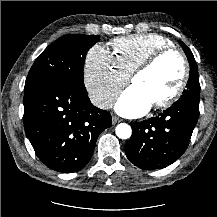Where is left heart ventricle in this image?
I'll return each mask as SVG.
<instances>
[{"label": "left heart ventricle", "instance_id": "left-heart-ventricle-1", "mask_svg": "<svg viewBox=\"0 0 217 217\" xmlns=\"http://www.w3.org/2000/svg\"><path fill=\"white\" fill-rule=\"evenodd\" d=\"M181 74L180 59L176 55H168L150 70L138 75L132 84L154 104L174 92Z\"/></svg>", "mask_w": 217, "mask_h": 217}]
</instances>
